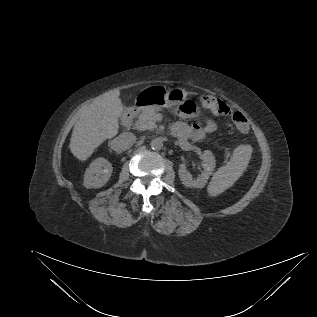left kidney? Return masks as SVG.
Segmentation results:
<instances>
[{"label": "left kidney", "mask_w": 317, "mask_h": 317, "mask_svg": "<svg viewBox=\"0 0 317 317\" xmlns=\"http://www.w3.org/2000/svg\"><path fill=\"white\" fill-rule=\"evenodd\" d=\"M200 158L203 161L204 170L196 179H193L192 175L187 171L185 164H181L179 166L178 174L180 180L186 187L203 188L215 168V158L211 151H203V153L200 155Z\"/></svg>", "instance_id": "obj_1"}]
</instances>
